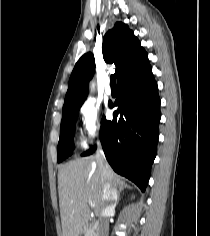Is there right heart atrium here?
<instances>
[{
    "label": "right heart atrium",
    "mask_w": 210,
    "mask_h": 236,
    "mask_svg": "<svg viewBox=\"0 0 210 236\" xmlns=\"http://www.w3.org/2000/svg\"><path fill=\"white\" fill-rule=\"evenodd\" d=\"M82 134L86 141L97 138L102 129V116L99 106L92 100L85 101L79 110Z\"/></svg>",
    "instance_id": "obj_1"
}]
</instances>
